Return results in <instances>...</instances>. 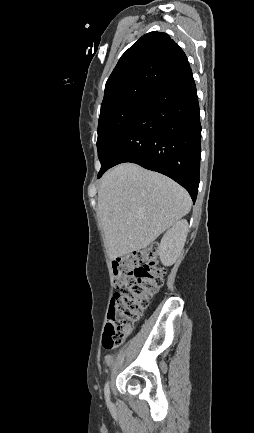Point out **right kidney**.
<instances>
[{
  "instance_id": "right-kidney-1",
  "label": "right kidney",
  "mask_w": 254,
  "mask_h": 433,
  "mask_svg": "<svg viewBox=\"0 0 254 433\" xmlns=\"http://www.w3.org/2000/svg\"><path fill=\"white\" fill-rule=\"evenodd\" d=\"M188 233V222H176L163 236L159 247V257L165 266H170L179 257Z\"/></svg>"
}]
</instances>
